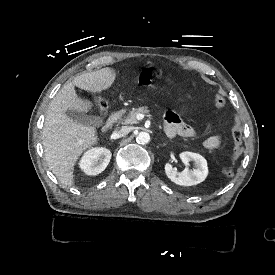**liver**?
Returning <instances> with one entry per match:
<instances>
[{
	"mask_svg": "<svg viewBox=\"0 0 275 275\" xmlns=\"http://www.w3.org/2000/svg\"><path fill=\"white\" fill-rule=\"evenodd\" d=\"M115 77V72L108 67L83 73L65 84L49 104L42 131V144L49 168L64 185L74 184L76 161L83 151L98 142L94 127L84 126L66 115L67 110L88 112L92 106L91 102L78 98L74 87L100 92L109 88Z\"/></svg>",
	"mask_w": 275,
	"mask_h": 275,
	"instance_id": "liver-1",
	"label": "liver"
}]
</instances>
